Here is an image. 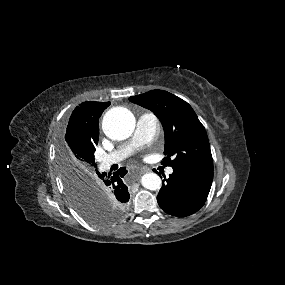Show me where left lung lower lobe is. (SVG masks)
I'll list each match as a JSON object with an SVG mask.
<instances>
[{"instance_id":"obj_1","label":"left lung lower lobe","mask_w":285,"mask_h":285,"mask_svg":"<svg viewBox=\"0 0 285 285\" xmlns=\"http://www.w3.org/2000/svg\"><path fill=\"white\" fill-rule=\"evenodd\" d=\"M213 180V172L173 168L157 195L159 206L173 216L186 217L205 203Z\"/></svg>"}]
</instances>
